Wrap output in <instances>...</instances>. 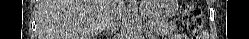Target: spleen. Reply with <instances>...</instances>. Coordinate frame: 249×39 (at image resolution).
Listing matches in <instances>:
<instances>
[{
    "label": "spleen",
    "instance_id": "spleen-1",
    "mask_svg": "<svg viewBox=\"0 0 249 39\" xmlns=\"http://www.w3.org/2000/svg\"><path fill=\"white\" fill-rule=\"evenodd\" d=\"M203 34L206 36V32L204 31Z\"/></svg>",
    "mask_w": 249,
    "mask_h": 39
}]
</instances>
